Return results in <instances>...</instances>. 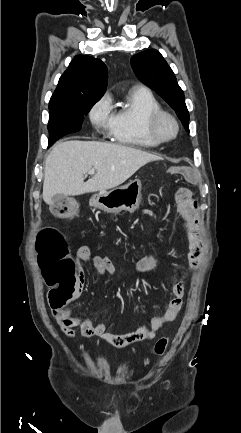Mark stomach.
Listing matches in <instances>:
<instances>
[{
  "mask_svg": "<svg viewBox=\"0 0 241 433\" xmlns=\"http://www.w3.org/2000/svg\"><path fill=\"white\" fill-rule=\"evenodd\" d=\"M141 181L136 179L127 185L100 191L90 199V205L108 213L134 211L142 200Z\"/></svg>",
  "mask_w": 241,
  "mask_h": 433,
  "instance_id": "1",
  "label": "stomach"
}]
</instances>
